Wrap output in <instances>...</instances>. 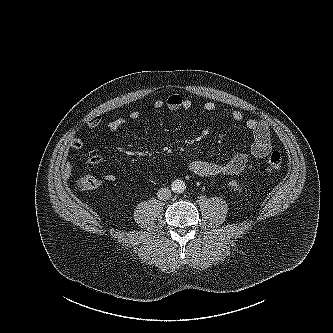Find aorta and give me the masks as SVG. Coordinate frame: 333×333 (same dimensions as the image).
Instances as JSON below:
<instances>
[{"instance_id": "762f6f07", "label": "aorta", "mask_w": 333, "mask_h": 333, "mask_svg": "<svg viewBox=\"0 0 333 333\" xmlns=\"http://www.w3.org/2000/svg\"><path fill=\"white\" fill-rule=\"evenodd\" d=\"M172 189L176 193H182L186 189V184L184 181L177 179V180L173 181Z\"/></svg>"}]
</instances>
